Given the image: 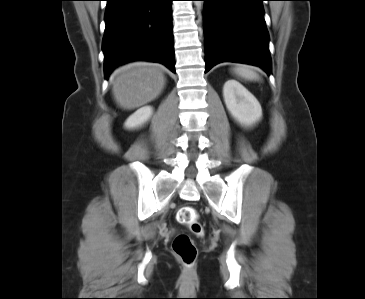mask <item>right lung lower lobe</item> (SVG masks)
<instances>
[{"mask_svg":"<svg viewBox=\"0 0 365 299\" xmlns=\"http://www.w3.org/2000/svg\"><path fill=\"white\" fill-rule=\"evenodd\" d=\"M102 50L107 79L119 65L147 60L175 73L172 0H106Z\"/></svg>","mask_w":365,"mask_h":299,"instance_id":"obj_1","label":"right lung lower lobe"}]
</instances>
